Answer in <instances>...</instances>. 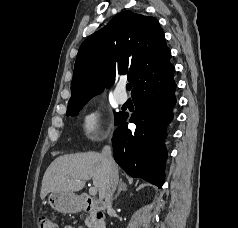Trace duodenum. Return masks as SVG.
<instances>
[{"label": "duodenum", "instance_id": "410a0bca", "mask_svg": "<svg viewBox=\"0 0 238 228\" xmlns=\"http://www.w3.org/2000/svg\"><path fill=\"white\" fill-rule=\"evenodd\" d=\"M78 207L80 210L93 213L95 228H106L103 219V214L106 209L104 204L97 202L87 195H81L78 198Z\"/></svg>", "mask_w": 238, "mask_h": 228}]
</instances>
